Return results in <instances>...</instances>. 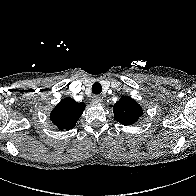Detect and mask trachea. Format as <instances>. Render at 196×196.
Returning a JSON list of instances; mask_svg holds the SVG:
<instances>
[{"label":"trachea","mask_w":196,"mask_h":196,"mask_svg":"<svg viewBox=\"0 0 196 196\" xmlns=\"http://www.w3.org/2000/svg\"><path fill=\"white\" fill-rule=\"evenodd\" d=\"M102 92V86L100 83L96 82L92 85V93L98 95Z\"/></svg>","instance_id":"3493384b"}]
</instances>
